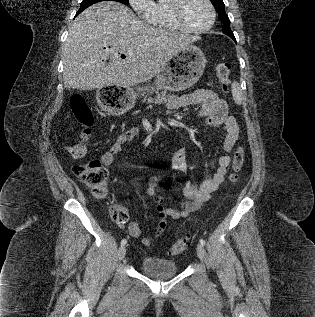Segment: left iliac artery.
Instances as JSON below:
<instances>
[{
	"label": "left iliac artery",
	"mask_w": 315,
	"mask_h": 317,
	"mask_svg": "<svg viewBox=\"0 0 315 317\" xmlns=\"http://www.w3.org/2000/svg\"><path fill=\"white\" fill-rule=\"evenodd\" d=\"M199 242H200V244H201L202 246L205 245V240H204V239L201 238V239L199 240Z\"/></svg>",
	"instance_id": "44dca946"
}]
</instances>
